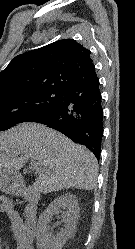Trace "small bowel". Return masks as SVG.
I'll list each match as a JSON object with an SVG mask.
<instances>
[{"label":"small bowel","mask_w":135,"mask_h":249,"mask_svg":"<svg viewBox=\"0 0 135 249\" xmlns=\"http://www.w3.org/2000/svg\"><path fill=\"white\" fill-rule=\"evenodd\" d=\"M0 213H4L12 223V233L17 240L16 249H34L35 222L33 217L22 219L6 197L0 198ZM0 249L2 240L0 237Z\"/></svg>","instance_id":"small-bowel-1"}]
</instances>
